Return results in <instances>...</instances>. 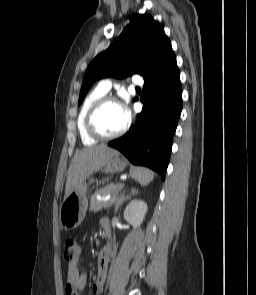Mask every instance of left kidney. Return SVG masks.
<instances>
[{
	"label": "left kidney",
	"instance_id": "5707ae66",
	"mask_svg": "<svg viewBox=\"0 0 256 295\" xmlns=\"http://www.w3.org/2000/svg\"><path fill=\"white\" fill-rule=\"evenodd\" d=\"M147 212V204L144 201L134 199L124 210V219L133 225L134 228L140 226Z\"/></svg>",
	"mask_w": 256,
	"mask_h": 295
}]
</instances>
